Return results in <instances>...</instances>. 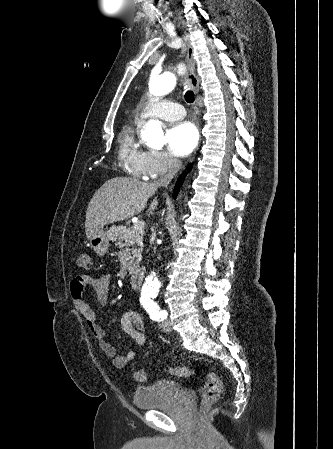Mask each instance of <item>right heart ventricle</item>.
<instances>
[{"mask_svg":"<svg viewBox=\"0 0 333 449\" xmlns=\"http://www.w3.org/2000/svg\"><path fill=\"white\" fill-rule=\"evenodd\" d=\"M144 152L139 148L136 131L133 127L124 129L119 136V155L137 177H144L142 157Z\"/></svg>","mask_w":333,"mask_h":449,"instance_id":"1","label":"right heart ventricle"}]
</instances>
